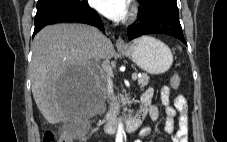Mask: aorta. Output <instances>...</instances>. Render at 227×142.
Wrapping results in <instances>:
<instances>
[{"label": "aorta", "mask_w": 227, "mask_h": 142, "mask_svg": "<svg viewBox=\"0 0 227 142\" xmlns=\"http://www.w3.org/2000/svg\"><path fill=\"white\" fill-rule=\"evenodd\" d=\"M124 128L123 124H118L117 134H116V142H123Z\"/></svg>", "instance_id": "762f6f07"}]
</instances>
